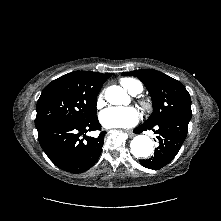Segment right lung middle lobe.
I'll return each mask as SVG.
<instances>
[{
  "label": "right lung middle lobe",
  "mask_w": 221,
  "mask_h": 221,
  "mask_svg": "<svg viewBox=\"0 0 221 221\" xmlns=\"http://www.w3.org/2000/svg\"><path fill=\"white\" fill-rule=\"evenodd\" d=\"M98 93L90 92L65 75L49 83L36 106L37 130L55 123H84L96 118Z\"/></svg>",
  "instance_id": "dd1d6c3e"
}]
</instances>
